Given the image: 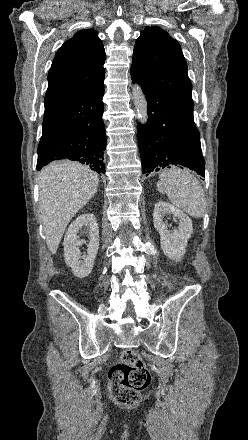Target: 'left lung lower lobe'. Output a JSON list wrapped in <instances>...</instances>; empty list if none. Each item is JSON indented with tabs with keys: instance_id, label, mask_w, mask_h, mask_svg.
<instances>
[{
	"instance_id": "0a47b994",
	"label": "left lung lower lobe",
	"mask_w": 248,
	"mask_h": 440,
	"mask_svg": "<svg viewBox=\"0 0 248 440\" xmlns=\"http://www.w3.org/2000/svg\"><path fill=\"white\" fill-rule=\"evenodd\" d=\"M131 75L133 82L140 83L133 74ZM141 86L148 106L146 125L138 124L142 173L181 165L205 177L200 133L195 126L193 115L160 92Z\"/></svg>"
}]
</instances>
